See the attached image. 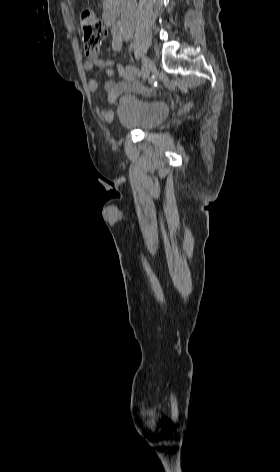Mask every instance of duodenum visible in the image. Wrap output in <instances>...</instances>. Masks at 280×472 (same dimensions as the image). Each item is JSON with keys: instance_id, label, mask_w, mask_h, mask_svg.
<instances>
[{"instance_id": "obj_1", "label": "duodenum", "mask_w": 280, "mask_h": 472, "mask_svg": "<svg viewBox=\"0 0 280 472\" xmlns=\"http://www.w3.org/2000/svg\"><path fill=\"white\" fill-rule=\"evenodd\" d=\"M122 0H109L104 12V21L109 26H114L120 13Z\"/></svg>"}]
</instances>
